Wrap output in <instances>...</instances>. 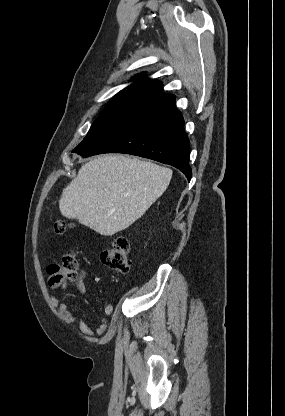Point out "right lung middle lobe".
Returning <instances> with one entry per match:
<instances>
[{
  "mask_svg": "<svg viewBox=\"0 0 285 416\" xmlns=\"http://www.w3.org/2000/svg\"><path fill=\"white\" fill-rule=\"evenodd\" d=\"M160 110V105L132 95L113 97L84 140L72 152L84 151Z\"/></svg>",
  "mask_w": 285,
  "mask_h": 416,
  "instance_id": "dd1d6c3e",
  "label": "right lung middle lobe"
}]
</instances>
